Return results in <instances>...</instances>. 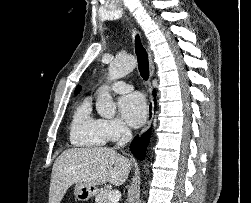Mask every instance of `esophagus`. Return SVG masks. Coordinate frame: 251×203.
<instances>
[{"instance_id": "esophagus-1", "label": "esophagus", "mask_w": 251, "mask_h": 203, "mask_svg": "<svg viewBox=\"0 0 251 203\" xmlns=\"http://www.w3.org/2000/svg\"><path fill=\"white\" fill-rule=\"evenodd\" d=\"M149 64H150V79L148 81L149 99L147 105V120L143 129L141 130V134L147 131V129L150 127L154 115V101H153L152 85H151V78L154 73V64L151 55H149Z\"/></svg>"}]
</instances>
